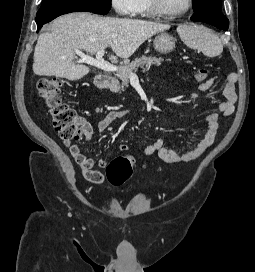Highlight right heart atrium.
Returning <instances> with one entry per match:
<instances>
[{"label": "right heart atrium", "instance_id": "d8ad5b80", "mask_svg": "<svg viewBox=\"0 0 255 272\" xmlns=\"http://www.w3.org/2000/svg\"><path fill=\"white\" fill-rule=\"evenodd\" d=\"M115 12L122 16H132L137 13L138 0H110Z\"/></svg>", "mask_w": 255, "mask_h": 272}]
</instances>
